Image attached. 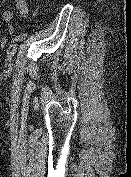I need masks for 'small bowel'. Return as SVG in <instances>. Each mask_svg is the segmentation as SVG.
Here are the masks:
<instances>
[{
	"instance_id": "obj_1",
	"label": "small bowel",
	"mask_w": 131,
	"mask_h": 177,
	"mask_svg": "<svg viewBox=\"0 0 131 177\" xmlns=\"http://www.w3.org/2000/svg\"><path fill=\"white\" fill-rule=\"evenodd\" d=\"M36 4L38 5V2H36ZM15 6L16 9L18 11V13L26 20H30L35 13L37 12V8L38 6H36V9L34 12H31L28 8L27 2L26 0H15ZM13 18V13L9 10H5L1 13V19L4 22H10ZM9 33L13 34L15 31V28L13 25L9 24L7 27Z\"/></svg>"
}]
</instances>
